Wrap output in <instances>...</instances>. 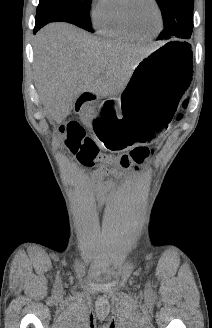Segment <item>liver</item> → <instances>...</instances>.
<instances>
[{
	"mask_svg": "<svg viewBox=\"0 0 212 328\" xmlns=\"http://www.w3.org/2000/svg\"><path fill=\"white\" fill-rule=\"evenodd\" d=\"M152 50L106 41L67 23H52L36 35L35 67L39 93L57 123L71 112L77 97L119 94L136 65Z\"/></svg>",
	"mask_w": 212,
	"mask_h": 328,
	"instance_id": "liver-1",
	"label": "liver"
}]
</instances>
